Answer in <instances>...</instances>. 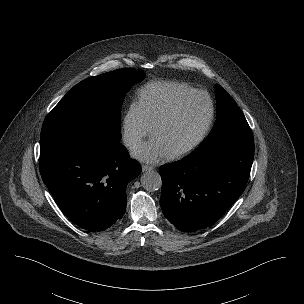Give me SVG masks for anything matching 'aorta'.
<instances>
[{
  "label": "aorta",
  "mask_w": 304,
  "mask_h": 304,
  "mask_svg": "<svg viewBox=\"0 0 304 304\" xmlns=\"http://www.w3.org/2000/svg\"><path fill=\"white\" fill-rule=\"evenodd\" d=\"M141 184L147 191H156L162 186V179L158 172L147 171L141 176Z\"/></svg>",
  "instance_id": "762f6f07"
}]
</instances>
